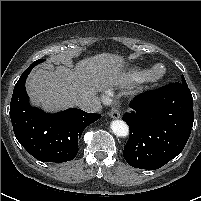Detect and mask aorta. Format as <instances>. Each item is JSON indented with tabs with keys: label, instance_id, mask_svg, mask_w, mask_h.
<instances>
[{
	"label": "aorta",
	"instance_id": "aorta-1",
	"mask_svg": "<svg viewBox=\"0 0 201 201\" xmlns=\"http://www.w3.org/2000/svg\"><path fill=\"white\" fill-rule=\"evenodd\" d=\"M110 127L118 137H126L129 134L128 125L122 120H113Z\"/></svg>",
	"mask_w": 201,
	"mask_h": 201
}]
</instances>
